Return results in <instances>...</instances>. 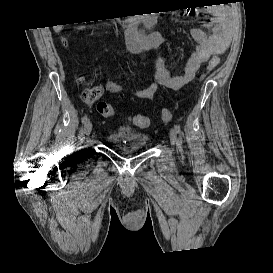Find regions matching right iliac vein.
Segmentation results:
<instances>
[{
  "label": "right iliac vein",
  "instance_id": "obj_1",
  "mask_svg": "<svg viewBox=\"0 0 273 273\" xmlns=\"http://www.w3.org/2000/svg\"><path fill=\"white\" fill-rule=\"evenodd\" d=\"M92 131V122L88 120L84 125V133L89 136Z\"/></svg>",
  "mask_w": 273,
  "mask_h": 273
}]
</instances>
